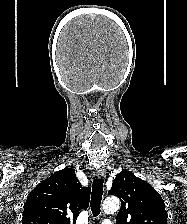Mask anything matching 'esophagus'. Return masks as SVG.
<instances>
[{
    "label": "esophagus",
    "instance_id": "obj_1",
    "mask_svg": "<svg viewBox=\"0 0 187 224\" xmlns=\"http://www.w3.org/2000/svg\"><path fill=\"white\" fill-rule=\"evenodd\" d=\"M96 175H97L98 178L102 179V178L105 177L106 172L103 168H100L96 171Z\"/></svg>",
    "mask_w": 187,
    "mask_h": 224
}]
</instances>
